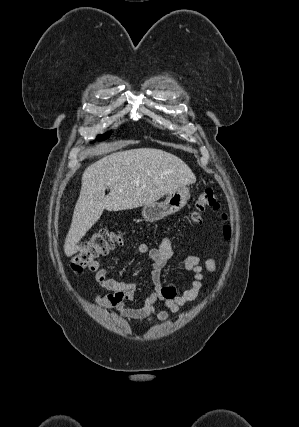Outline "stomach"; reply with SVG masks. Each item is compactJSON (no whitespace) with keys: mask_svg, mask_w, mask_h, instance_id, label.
<instances>
[{"mask_svg":"<svg viewBox=\"0 0 299 427\" xmlns=\"http://www.w3.org/2000/svg\"><path fill=\"white\" fill-rule=\"evenodd\" d=\"M190 198V190L186 186L179 187L168 193L163 202L144 205L142 216L147 222H155L179 212Z\"/></svg>","mask_w":299,"mask_h":427,"instance_id":"1","label":"stomach"}]
</instances>
